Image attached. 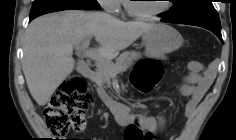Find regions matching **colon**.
Masks as SVG:
<instances>
[{
  "instance_id": "5ec220e1",
  "label": "colon",
  "mask_w": 236,
  "mask_h": 140,
  "mask_svg": "<svg viewBox=\"0 0 236 140\" xmlns=\"http://www.w3.org/2000/svg\"><path fill=\"white\" fill-rule=\"evenodd\" d=\"M163 75V67L156 60H142L132 72V83L142 93H151ZM94 98L85 81L72 75L67 78L52 96L44 110V118L49 131L58 137L69 130L81 131L85 126V114ZM127 140H148L151 134L141 124L140 116H134L127 124Z\"/></svg>"
}]
</instances>
